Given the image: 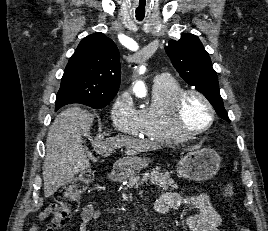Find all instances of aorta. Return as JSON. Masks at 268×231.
I'll list each match as a JSON object with an SVG mask.
<instances>
[{
	"label": "aorta",
	"instance_id": "aorta-1",
	"mask_svg": "<svg viewBox=\"0 0 268 231\" xmlns=\"http://www.w3.org/2000/svg\"><path fill=\"white\" fill-rule=\"evenodd\" d=\"M133 91L136 94V96L144 97L147 93L146 86H145L144 82H142V81L136 82V84L134 85Z\"/></svg>",
	"mask_w": 268,
	"mask_h": 231
}]
</instances>
